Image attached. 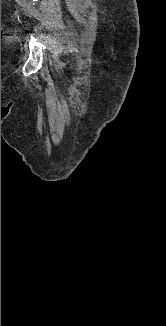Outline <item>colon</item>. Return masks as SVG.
<instances>
[{"label":"colon","mask_w":166,"mask_h":326,"mask_svg":"<svg viewBox=\"0 0 166 326\" xmlns=\"http://www.w3.org/2000/svg\"><path fill=\"white\" fill-rule=\"evenodd\" d=\"M2 37H3V30H2V28H1V39H2Z\"/></svg>","instance_id":"colon-1"}]
</instances>
